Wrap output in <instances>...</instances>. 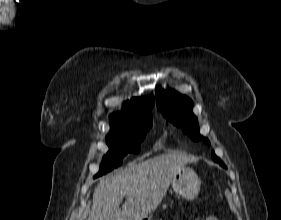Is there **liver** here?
<instances>
[{"label": "liver", "mask_w": 281, "mask_h": 220, "mask_svg": "<svg viewBox=\"0 0 281 220\" xmlns=\"http://www.w3.org/2000/svg\"><path fill=\"white\" fill-rule=\"evenodd\" d=\"M190 161L184 153L172 152L102 177L94 189L88 220L145 219L162 201L174 175Z\"/></svg>", "instance_id": "1"}]
</instances>
